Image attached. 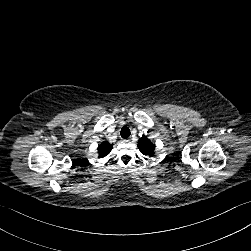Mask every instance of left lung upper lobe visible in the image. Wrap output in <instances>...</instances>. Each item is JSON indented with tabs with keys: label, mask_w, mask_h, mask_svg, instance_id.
<instances>
[{
	"label": "left lung upper lobe",
	"mask_w": 251,
	"mask_h": 251,
	"mask_svg": "<svg viewBox=\"0 0 251 251\" xmlns=\"http://www.w3.org/2000/svg\"><path fill=\"white\" fill-rule=\"evenodd\" d=\"M138 148L144 155L152 156L155 154V145L145 136L139 139Z\"/></svg>",
	"instance_id": "1"
}]
</instances>
